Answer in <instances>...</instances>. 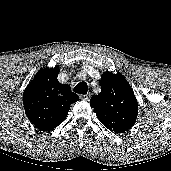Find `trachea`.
Listing matches in <instances>:
<instances>
[{
	"instance_id": "1",
	"label": "trachea",
	"mask_w": 171,
	"mask_h": 171,
	"mask_svg": "<svg viewBox=\"0 0 171 171\" xmlns=\"http://www.w3.org/2000/svg\"><path fill=\"white\" fill-rule=\"evenodd\" d=\"M74 92L79 93V94H87L88 91V86L86 82H80L78 83L74 89Z\"/></svg>"
}]
</instances>
